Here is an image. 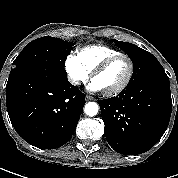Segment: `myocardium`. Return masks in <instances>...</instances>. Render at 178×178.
<instances>
[{"label": "myocardium", "instance_id": "f54148a6", "mask_svg": "<svg viewBox=\"0 0 178 178\" xmlns=\"http://www.w3.org/2000/svg\"><path fill=\"white\" fill-rule=\"evenodd\" d=\"M126 59L128 62V74L126 79L124 80V82L122 84H120L119 86H117L116 88L109 90V91H104V95L105 96H114L117 95L121 92H123L131 83L133 75H134V61L133 59L124 53H120L117 55H113L108 57L107 59H105L102 63H100L92 72V80L94 81V79L101 74L102 72H104L110 65H112L114 62H116L119 59Z\"/></svg>", "mask_w": 178, "mask_h": 178}]
</instances>
